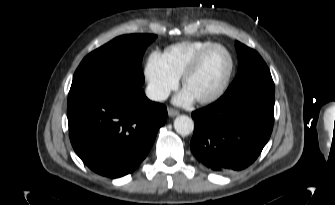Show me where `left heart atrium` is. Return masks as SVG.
<instances>
[{
  "label": "left heart atrium",
  "instance_id": "left-heart-atrium-1",
  "mask_svg": "<svg viewBox=\"0 0 335 205\" xmlns=\"http://www.w3.org/2000/svg\"><path fill=\"white\" fill-rule=\"evenodd\" d=\"M195 98L186 90L184 89L175 99L177 104H190Z\"/></svg>",
  "mask_w": 335,
  "mask_h": 205
}]
</instances>
